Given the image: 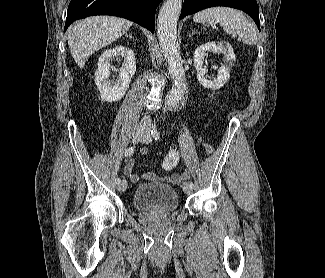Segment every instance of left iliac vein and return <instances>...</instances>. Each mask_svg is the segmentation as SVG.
<instances>
[{
    "label": "left iliac vein",
    "mask_w": 325,
    "mask_h": 278,
    "mask_svg": "<svg viewBox=\"0 0 325 278\" xmlns=\"http://www.w3.org/2000/svg\"><path fill=\"white\" fill-rule=\"evenodd\" d=\"M140 141L142 143H150L152 141V137H151V133L149 130H145V134L143 135V137L140 139ZM182 188H183V191L186 193V194H191L193 192V188L190 187V184L188 182H184L182 184Z\"/></svg>",
    "instance_id": "1"
}]
</instances>
